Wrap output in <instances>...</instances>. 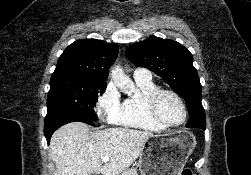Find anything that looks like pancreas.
Returning a JSON list of instances; mask_svg holds the SVG:
<instances>
[{
    "label": "pancreas",
    "instance_id": "pancreas-1",
    "mask_svg": "<svg viewBox=\"0 0 251 175\" xmlns=\"http://www.w3.org/2000/svg\"><path fill=\"white\" fill-rule=\"evenodd\" d=\"M120 175H138L137 167H127V169H121Z\"/></svg>",
    "mask_w": 251,
    "mask_h": 175
}]
</instances>
